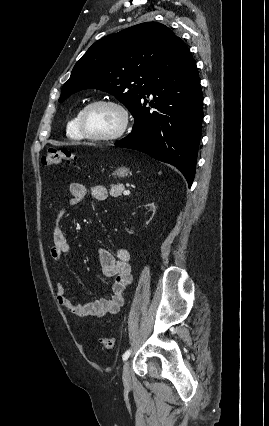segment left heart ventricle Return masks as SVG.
Listing matches in <instances>:
<instances>
[{"mask_svg":"<svg viewBox=\"0 0 269 426\" xmlns=\"http://www.w3.org/2000/svg\"><path fill=\"white\" fill-rule=\"evenodd\" d=\"M120 114L112 107L98 105L88 110L85 124L90 133L102 135L114 132L120 125Z\"/></svg>","mask_w":269,"mask_h":426,"instance_id":"b2bd125f","label":"left heart ventricle"}]
</instances>
